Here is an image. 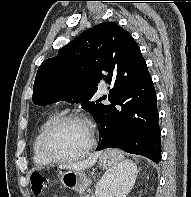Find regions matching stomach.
Returning <instances> with one entry per match:
<instances>
[{"label":"stomach","instance_id":"stomach-1","mask_svg":"<svg viewBox=\"0 0 191 197\" xmlns=\"http://www.w3.org/2000/svg\"><path fill=\"white\" fill-rule=\"evenodd\" d=\"M123 157L121 154L114 152L113 150L105 151L99 158V165L102 169H113ZM60 181L68 189L74 190L82 194L89 186V180L83 171L67 170L60 176Z\"/></svg>","mask_w":191,"mask_h":197}]
</instances>
